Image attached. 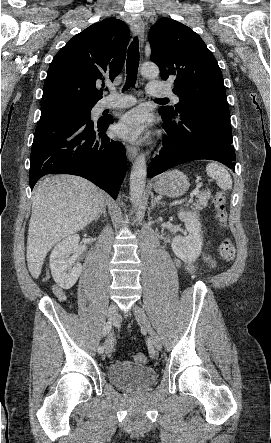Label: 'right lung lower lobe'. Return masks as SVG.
<instances>
[{"mask_svg": "<svg viewBox=\"0 0 271 443\" xmlns=\"http://www.w3.org/2000/svg\"><path fill=\"white\" fill-rule=\"evenodd\" d=\"M112 117L92 121L74 112L40 118L32 144L31 189L46 174L84 177L116 199L127 170L124 146L105 131Z\"/></svg>", "mask_w": 271, "mask_h": 443, "instance_id": "obj_1", "label": "right lung lower lobe"}]
</instances>
